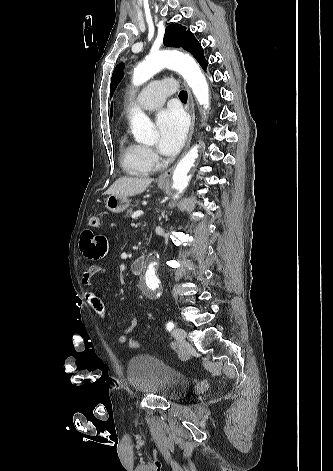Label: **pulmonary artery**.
<instances>
[{
  "mask_svg": "<svg viewBox=\"0 0 333 471\" xmlns=\"http://www.w3.org/2000/svg\"><path fill=\"white\" fill-rule=\"evenodd\" d=\"M175 92L171 79L157 80L145 87L137 98V104L144 110L152 111L160 107L165 99Z\"/></svg>",
  "mask_w": 333,
  "mask_h": 471,
  "instance_id": "1",
  "label": "pulmonary artery"
}]
</instances>
